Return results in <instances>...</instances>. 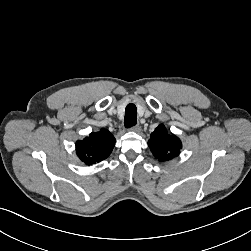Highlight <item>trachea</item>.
I'll return each instance as SVG.
<instances>
[{
	"instance_id": "3493384b",
	"label": "trachea",
	"mask_w": 251,
	"mask_h": 251,
	"mask_svg": "<svg viewBox=\"0 0 251 251\" xmlns=\"http://www.w3.org/2000/svg\"><path fill=\"white\" fill-rule=\"evenodd\" d=\"M137 122V108L133 103L126 106L124 125L126 128H131Z\"/></svg>"
}]
</instances>
